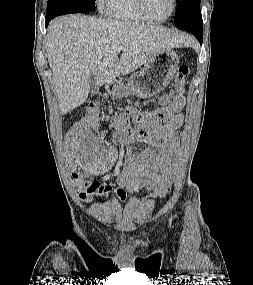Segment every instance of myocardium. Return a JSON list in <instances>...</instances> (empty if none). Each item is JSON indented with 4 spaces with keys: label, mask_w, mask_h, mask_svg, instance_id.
<instances>
[{
    "label": "myocardium",
    "mask_w": 253,
    "mask_h": 285,
    "mask_svg": "<svg viewBox=\"0 0 253 285\" xmlns=\"http://www.w3.org/2000/svg\"><path fill=\"white\" fill-rule=\"evenodd\" d=\"M138 3H139V9L141 13L144 15V17L147 18L149 21L158 22V23L169 20L174 15L177 9V0H172V9L169 15L166 16L165 18H155L151 16L150 13L148 12L147 6H146V3H147L146 0H138Z\"/></svg>",
    "instance_id": "f54148a6"
}]
</instances>
